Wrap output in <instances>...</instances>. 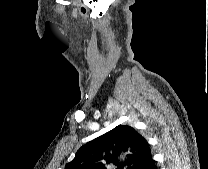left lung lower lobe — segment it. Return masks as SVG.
<instances>
[{
	"label": "left lung lower lobe",
	"instance_id": "left-lung-lower-lobe-1",
	"mask_svg": "<svg viewBox=\"0 0 208 169\" xmlns=\"http://www.w3.org/2000/svg\"><path fill=\"white\" fill-rule=\"evenodd\" d=\"M140 169H157V167L155 165V161L152 159V155H151L150 151L146 155Z\"/></svg>",
	"mask_w": 208,
	"mask_h": 169
}]
</instances>
